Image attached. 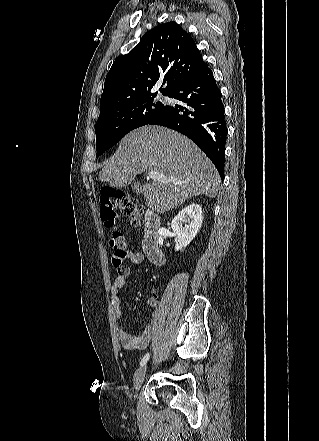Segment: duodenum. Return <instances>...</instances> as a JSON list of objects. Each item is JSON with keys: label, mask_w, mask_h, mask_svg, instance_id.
<instances>
[{"label": "duodenum", "mask_w": 319, "mask_h": 441, "mask_svg": "<svg viewBox=\"0 0 319 441\" xmlns=\"http://www.w3.org/2000/svg\"><path fill=\"white\" fill-rule=\"evenodd\" d=\"M145 230L143 236V250L147 258L156 265L164 263V252L160 246V217L150 209L144 213Z\"/></svg>", "instance_id": "duodenum-1"}]
</instances>
